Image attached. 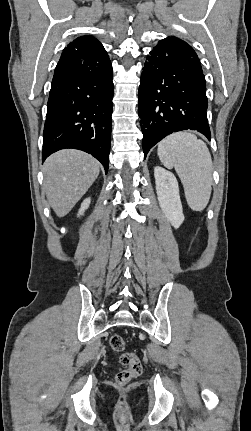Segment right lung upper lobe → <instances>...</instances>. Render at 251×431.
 <instances>
[{
	"instance_id": "1",
	"label": "right lung upper lobe",
	"mask_w": 251,
	"mask_h": 431,
	"mask_svg": "<svg viewBox=\"0 0 251 431\" xmlns=\"http://www.w3.org/2000/svg\"><path fill=\"white\" fill-rule=\"evenodd\" d=\"M101 45L102 44L97 39H95L91 36H81V37L75 39L69 45H67V47L64 49V51L65 50L74 51V50L85 48L88 46L91 47V46H101Z\"/></svg>"
}]
</instances>
